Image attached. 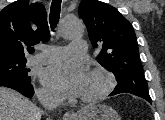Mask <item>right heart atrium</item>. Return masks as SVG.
Masks as SVG:
<instances>
[{"label":"right heart atrium","instance_id":"right-heart-atrium-1","mask_svg":"<svg viewBox=\"0 0 165 120\" xmlns=\"http://www.w3.org/2000/svg\"><path fill=\"white\" fill-rule=\"evenodd\" d=\"M38 94L43 99H47V100L54 99V96L48 90L44 88L39 89Z\"/></svg>","mask_w":165,"mask_h":120}]
</instances>
